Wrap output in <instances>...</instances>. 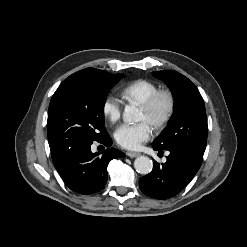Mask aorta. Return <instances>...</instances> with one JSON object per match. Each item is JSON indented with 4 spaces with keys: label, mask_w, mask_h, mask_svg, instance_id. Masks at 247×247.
Listing matches in <instances>:
<instances>
[{
    "label": "aorta",
    "mask_w": 247,
    "mask_h": 247,
    "mask_svg": "<svg viewBox=\"0 0 247 247\" xmlns=\"http://www.w3.org/2000/svg\"><path fill=\"white\" fill-rule=\"evenodd\" d=\"M140 117L139 110L132 105H128L125 107L123 112V119L127 122L138 121ZM134 167L136 171L140 174L146 175L152 171L153 162L147 156H139L134 161Z\"/></svg>",
    "instance_id": "762f6f07"
}]
</instances>
